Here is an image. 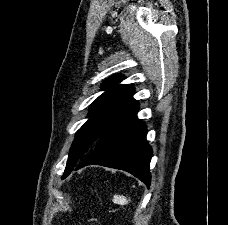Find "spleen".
Here are the masks:
<instances>
[{
  "label": "spleen",
  "mask_w": 228,
  "mask_h": 225,
  "mask_svg": "<svg viewBox=\"0 0 228 225\" xmlns=\"http://www.w3.org/2000/svg\"><path fill=\"white\" fill-rule=\"evenodd\" d=\"M115 203H118V205H128L129 199L127 197H122V195H114Z\"/></svg>",
  "instance_id": "3e777b00"
}]
</instances>
